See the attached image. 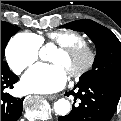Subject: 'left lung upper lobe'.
Wrapping results in <instances>:
<instances>
[{
	"mask_svg": "<svg viewBox=\"0 0 121 121\" xmlns=\"http://www.w3.org/2000/svg\"><path fill=\"white\" fill-rule=\"evenodd\" d=\"M64 28L84 32L95 43L97 55L92 69L84 73L78 83L98 81L121 91V43L106 27L89 19L63 25Z\"/></svg>",
	"mask_w": 121,
	"mask_h": 121,
	"instance_id": "left-lung-upper-lobe-1",
	"label": "left lung upper lobe"
}]
</instances>
